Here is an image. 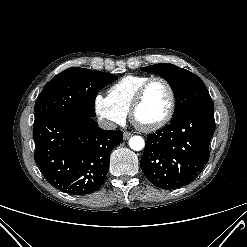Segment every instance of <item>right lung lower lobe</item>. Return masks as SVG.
Instances as JSON below:
<instances>
[{"label": "right lung lower lobe", "mask_w": 247, "mask_h": 247, "mask_svg": "<svg viewBox=\"0 0 247 247\" xmlns=\"http://www.w3.org/2000/svg\"><path fill=\"white\" fill-rule=\"evenodd\" d=\"M34 123V158L46 180L72 195L97 191L105 181L110 152L123 141L122 132L102 130L92 117L66 113Z\"/></svg>", "instance_id": "right-lung-lower-lobe-1"}]
</instances>
